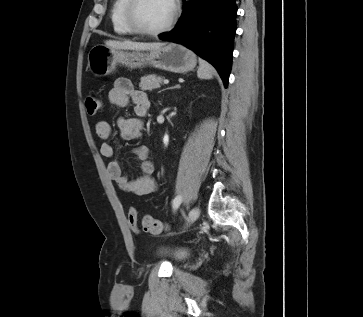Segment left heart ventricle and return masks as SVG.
<instances>
[{
    "label": "left heart ventricle",
    "instance_id": "obj_1",
    "mask_svg": "<svg viewBox=\"0 0 363 317\" xmlns=\"http://www.w3.org/2000/svg\"><path fill=\"white\" fill-rule=\"evenodd\" d=\"M171 12V0H140L136 8V20L141 27L155 30L168 21Z\"/></svg>",
    "mask_w": 363,
    "mask_h": 317
}]
</instances>
